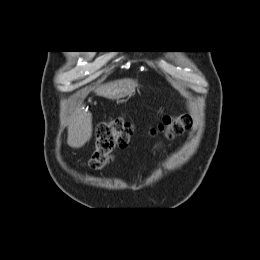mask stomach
Instances as JSON below:
<instances>
[{"label":"stomach","mask_w":260,"mask_h":260,"mask_svg":"<svg viewBox=\"0 0 260 260\" xmlns=\"http://www.w3.org/2000/svg\"><path fill=\"white\" fill-rule=\"evenodd\" d=\"M135 89V83L132 80H122L116 82V86L112 89L113 99H119L130 95Z\"/></svg>","instance_id":"0dacf381"}]
</instances>
